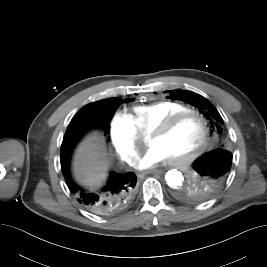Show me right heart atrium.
I'll return each instance as SVG.
<instances>
[{
	"label": "right heart atrium",
	"instance_id": "1",
	"mask_svg": "<svg viewBox=\"0 0 267 267\" xmlns=\"http://www.w3.org/2000/svg\"><path fill=\"white\" fill-rule=\"evenodd\" d=\"M110 135L118 156L128 164H133L139 153L141 135L128 115L117 112L110 123Z\"/></svg>",
	"mask_w": 267,
	"mask_h": 267
}]
</instances>
